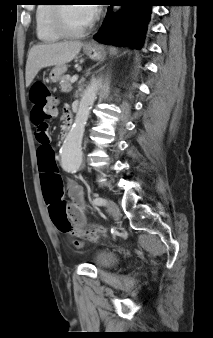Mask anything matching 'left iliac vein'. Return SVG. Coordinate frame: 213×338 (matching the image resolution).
<instances>
[{
  "instance_id": "left-iliac-vein-1",
  "label": "left iliac vein",
  "mask_w": 213,
  "mask_h": 338,
  "mask_svg": "<svg viewBox=\"0 0 213 338\" xmlns=\"http://www.w3.org/2000/svg\"><path fill=\"white\" fill-rule=\"evenodd\" d=\"M105 204L115 218H120V209L115 202L110 199H105Z\"/></svg>"
}]
</instances>
